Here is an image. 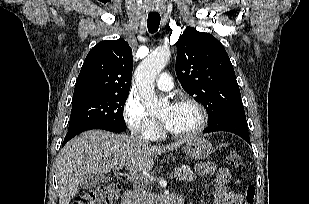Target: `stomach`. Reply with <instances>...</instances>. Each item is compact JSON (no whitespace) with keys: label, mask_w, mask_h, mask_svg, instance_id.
Here are the masks:
<instances>
[{"label":"stomach","mask_w":309,"mask_h":204,"mask_svg":"<svg viewBox=\"0 0 309 204\" xmlns=\"http://www.w3.org/2000/svg\"><path fill=\"white\" fill-rule=\"evenodd\" d=\"M182 150L188 157L202 160L212 153L213 148L212 144L205 138L193 137L187 140Z\"/></svg>","instance_id":"stomach-1"}]
</instances>
